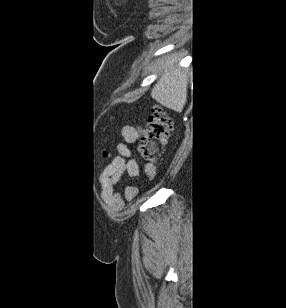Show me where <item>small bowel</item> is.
Masks as SVG:
<instances>
[{
    "label": "small bowel",
    "instance_id": "small-bowel-1",
    "mask_svg": "<svg viewBox=\"0 0 286 308\" xmlns=\"http://www.w3.org/2000/svg\"><path fill=\"white\" fill-rule=\"evenodd\" d=\"M141 134L140 127L133 125H126L122 128L123 142L118 144V156L114 159L110 166L111 170V182L116 185L121 181L125 174L129 177H137L140 174L139 164L130 159V153L128 149V144L135 142ZM145 175L148 178H153L155 176V168L151 165H145L144 167ZM136 193L134 188H130L125 192V198L131 199Z\"/></svg>",
    "mask_w": 286,
    "mask_h": 308
}]
</instances>
